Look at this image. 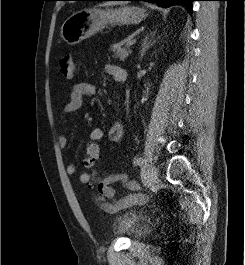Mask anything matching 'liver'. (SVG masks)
<instances>
[{"label": "liver", "mask_w": 245, "mask_h": 265, "mask_svg": "<svg viewBox=\"0 0 245 265\" xmlns=\"http://www.w3.org/2000/svg\"><path fill=\"white\" fill-rule=\"evenodd\" d=\"M113 4H117V3H106L104 5H113Z\"/></svg>", "instance_id": "1"}]
</instances>
